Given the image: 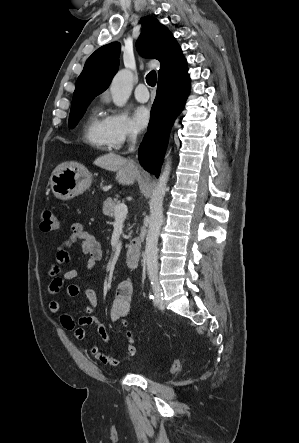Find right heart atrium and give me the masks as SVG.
<instances>
[{"label":"right heart atrium","instance_id":"obj_1","mask_svg":"<svg viewBox=\"0 0 299 443\" xmlns=\"http://www.w3.org/2000/svg\"><path fill=\"white\" fill-rule=\"evenodd\" d=\"M105 128L109 143L112 148L118 149L137 137V131L133 127L127 114L117 110H111L105 118Z\"/></svg>","mask_w":299,"mask_h":443}]
</instances>
